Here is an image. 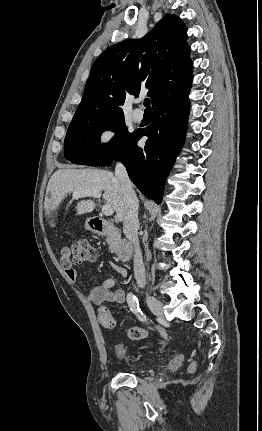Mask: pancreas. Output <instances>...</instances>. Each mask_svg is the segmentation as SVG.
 <instances>
[{
	"label": "pancreas",
	"mask_w": 262,
	"mask_h": 431,
	"mask_svg": "<svg viewBox=\"0 0 262 431\" xmlns=\"http://www.w3.org/2000/svg\"><path fill=\"white\" fill-rule=\"evenodd\" d=\"M106 241L109 245V249L111 250V252H117L118 245L120 242L119 235L115 232H112V233L108 234Z\"/></svg>",
	"instance_id": "obj_1"
}]
</instances>
